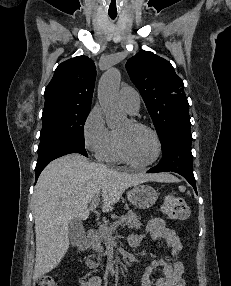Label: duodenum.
Wrapping results in <instances>:
<instances>
[{
  "mask_svg": "<svg viewBox=\"0 0 231 286\" xmlns=\"http://www.w3.org/2000/svg\"><path fill=\"white\" fill-rule=\"evenodd\" d=\"M94 238V234L92 231L86 232L83 236H81L79 239L76 241V247L79 250H86L90 247L92 241Z\"/></svg>",
  "mask_w": 231,
  "mask_h": 286,
  "instance_id": "1",
  "label": "duodenum"
}]
</instances>
